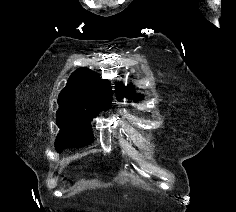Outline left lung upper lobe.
Listing matches in <instances>:
<instances>
[{
  "mask_svg": "<svg viewBox=\"0 0 236 212\" xmlns=\"http://www.w3.org/2000/svg\"><path fill=\"white\" fill-rule=\"evenodd\" d=\"M115 88H116L115 93L119 99L123 97H127V98L134 97V89L132 85H128L127 87H125V85H123L122 82H118ZM142 98H143V95H136L134 97V99H142Z\"/></svg>",
  "mask_w": 236,
  "mask_h": 212,
  "instance_id": "1",
  "label": "left lung upper lobe"
}]
</instances>
